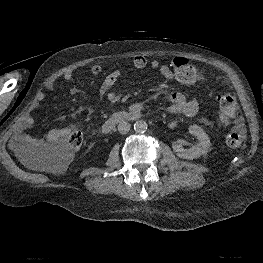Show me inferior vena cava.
Masks as SVG:
<instances>
[{
  "label": "inferior vena cava",
  "mask_w": 263,
  "mask_h": 263,
  "mask_svg": "<svg viewBox=\"0 0 263 263\" xmlns=\"http://www.w3.org/2000/svg\"><path fill=\"white\" fill-rule=\"evenodd\" d=\"M129 130L130 124L128 122L123 121L118 124V131L120 134H126L129 132Z\"/></svg>",
  "instance_id": "inferior-vena-cava-1"
}]
</instances>
